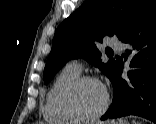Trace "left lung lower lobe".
Returning a JSON list of instances; mask_svg holds the SVG:
<instances>
[{"label":"left lung lower lobe","mask_w":156,"mask_h":124,"mask_svg":"<svg viewBox=\"0 0 156 124\" xmlns=\"http://www.w3.org/2000/svg\"><path fill=\"white\" fill-rule=\"evenodd\" d=\"M121 41L128 44L123 56L130 61L129 80L121 78L122 64H116L113 101L101 120L133 114L156 123V0Z\"/></svg>","instance_id":"0a47b994"}]
</instances>
